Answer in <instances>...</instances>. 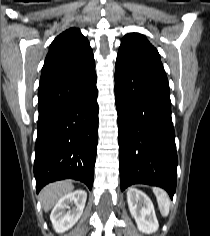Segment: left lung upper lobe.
Returning <instances> with one entry per match:
<instances>
[{"label": "left lung upper lobe", "mask_w": 210, "mask_h": 236, "mask_svg": "<svg viewBox=\"0 0 210 236\" xmlns=\"http://www.w3.org/2000/svg\"><path fill=\"white\" fill-rule=\"evenodd\" d=\"M116 64L134 71L166 76L158 51L139 33L123 37Z\"/></svg>", "instance_id": "left-lung-upper-lobe-1"}]
</instances>
